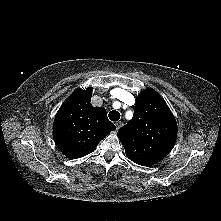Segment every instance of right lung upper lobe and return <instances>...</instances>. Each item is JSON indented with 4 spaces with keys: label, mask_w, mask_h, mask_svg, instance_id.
<instances>
[{
    "label": "right lung upper lobe",
    "mask_w": 221,
    "mask_h": 221,
    "mask_svg": "<svg viewBox=\"0 0 221 221\" xmlns=\"http://www.w3.org/2000/svg\"><path fill=\"white\" fill-rule=\"evenodd\" d=\"M92 90H75L58 110L53 138L58 149L69 158H80L95 150L98 143L115 130L103 107L90 104Z\"/></svg>",
    "instance_id": "obj_1"
}]
</instances>
